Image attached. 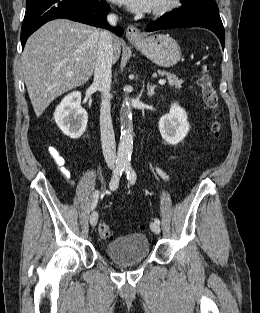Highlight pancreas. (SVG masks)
Wrapping results in <instances>:
<instances>
[{
	"label": "pancreas",
	"mask_w": 260,
	"mask_h": 313,
	"mask_svg": "<svg viewBox=\"0 0 260 313\" xmlns=\"http://www.w3.org/2000/svg\"><path fill=\"white\" fill-rule=\"evenodd\" d=\"M158 73L162 76H166V78L168 79V83L171 87H173L175 89H180L182 87L183 80L178 79V77H176V75L170 74L168 72L161 71V70H158Z\"/></svg>",
	"instance_id": "cf45deb5"
}]
</instances>
